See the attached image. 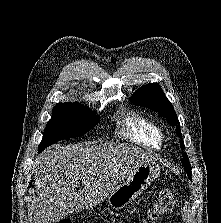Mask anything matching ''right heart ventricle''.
<instances>
[{"label":"right heart ventricle","instance_id":"right-heart-ventricle-1","mask_svg":"<svg viewBox=\"0 0 221 223\" xmlns=\"http://www.w3.org/2000/svg\"><path fill=\"white\" fill-rule=\"evenodd\" d=\"M120 134L123 138L153 148L161 145V131L158 124L149 117L132 111L121 118Z\"/></svg>","mask_w":221,"mask_h":223}]
</instances>
